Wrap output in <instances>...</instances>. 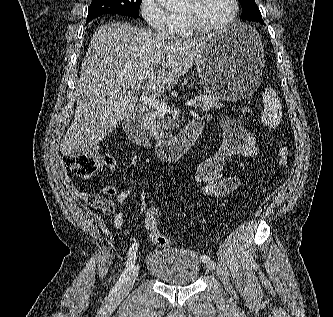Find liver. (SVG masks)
Instances as JSON below:
<instances>
[{
    "mask_svg": "<svg viewBox=\"0 0 333 317\" xmlns=\"http://www.w3.org/2000/svg\"><path fill=\"white\" fill-rule=\"evenodd\" d=\"M208 37L179 38L125 22L93 34L76 84L74 120L61 141L63 155L89 151L132 116L129 87L149 93L173 88L202 53ZM159 65V68H157Z\"/></svg>",
    "mask_w": 333,
    "mask_h": 317,
    "instance_id": "1",
    "label": "liver"
}]
</instances>
